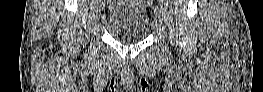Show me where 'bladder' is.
I'll list each match as a JSON object with an SVG mask.
<instances>
[{"instance_id": "obj_1", "label": "bladder", "mask_w": 263, "mask_h": 92, "mask_svg": "<svg viewBox=\"0 0 263 92\" xmlns=\"http://www.w3.org/2000/svg\"><path fill=\"white\" fill-rule=\"evenodd\" d=\"M129 6L113 11L107 18L106 28L117 41L139 42L148 34L150 28L145 9L139 1L126 2Z\"/></svg>"}]
</instances>
